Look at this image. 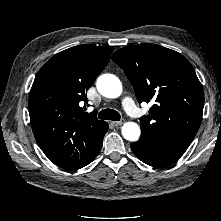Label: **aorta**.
Masks as SVG:
<instances>
[{
	"label": "aorta",
	"instance_id": "aorta-1",
	"mask_svg": "<svg viewBox=\"0 0 221 221\" xmlns=\"http://www.w3.org/2000/svg\"><path fill=\"white\" fill-rule=\"evenodd\" d=\"M98 92L107 98H117L122 93V84L113 74H103L97 79ZM141 130L138 124L127 122L122 126V135L128 141H136L140 137Z\"/></svg>",
	"mask_w": 221,
	"mask_h": 221
}]
</instances>
